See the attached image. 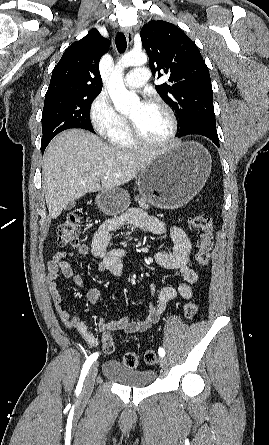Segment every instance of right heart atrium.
Here are the masks:
<instances>
[{
  "mask_svg": "<svg viewBox=\"0 0 269 445\" xmlns=\"http://www.w3.org/2000/svg\"><path fill=\"white\" fill-rule=\"evenodd\" d=\"M90 121L95 130L105 134L119 120L120 115L114 109L107 93H99L89 107Z\"/></svg>",
  "mask_w": 269,
  "mask_h": 445,
  "instance_id": "obj_1",
  "label": "right heart atrium"
}]
</instances>
